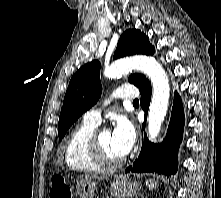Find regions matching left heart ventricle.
<instances>
[{
    "label": "left heart ventricle",
    "mask_w": 221,
    "mask_h": 198,
    "mask_svg": "<svg viewBox=\"0 0 221 198\" xmlns=\"http://www.w3.org/2000/svg\"><path fill=\"white\" fill-rule=\"evenodd\" d=\"M101 147L105 154L113 160L121 159L122 156L114 149L111 142V133L109 131H103L99 136Z\"/></svg>",
    "instance_id": "left-heart-ventricle-1"
}]
</instances>
